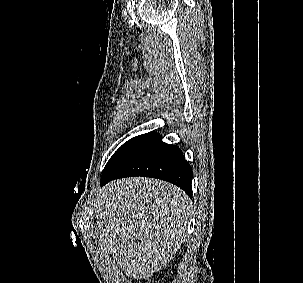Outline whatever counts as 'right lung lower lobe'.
<instances>
[{
	"instance_id": "98d812e1",
	"label": "right lung lower lobe",
	"mask_w": 303,
	"mask_h": 283,
	"mask_svg": "<svg viewBox=\"0 0 303 283\" xmlns=\"http://www.w3.org/2000/svg\"><path fill=\"white\" fill-rule=\"evenodd\" d=\"M145 176L173 183L191 195L192 168L175 145L156 132L141 135L116 165L102 175L101 186L123 177Z\"/></svg>"
}]
</instances>
